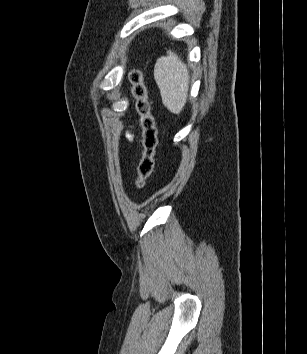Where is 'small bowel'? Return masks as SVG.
<instances>
[{"mask_svg": "<svg viewBox=\"0 0 307 354\" xmlns=\"http://www.w3.org/2000/svg\"><path fill=\"white\" fill-rule=\"evenodd\" d=\"M126 138L129 140V141H133L134 140V134L131 132V131H128L126 133Z\"/></svg>", "mask_w": 307, "mask_h": 354, "instance_id": "obj_1", "label": "small bowel"}]
</instances>
